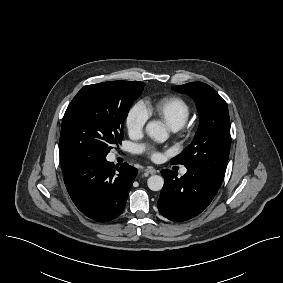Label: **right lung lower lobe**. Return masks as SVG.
Segmentation results:
<instances>
[{
  "label": "right lung lower lobe",
  "instance_id": "right-lung-lower-lobe-1",
  "mask_svg": "<svg viewBox=\"0 0 283 283\" xmlns=\"http://www.w3.org/2000/svg\"><path fill=\"white\" fill-rule=\"evenodd\" d=\"M136 175L137 169L127 163L115 166L106 155L94 154L76 160L64 172V182L82 213L106 222L122 213Z\"/></svg>",
  "mask_w": 283,
  "mask_h": 283
}]
</instances>
